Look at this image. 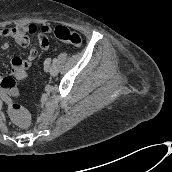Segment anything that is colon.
<instances>
[{
  "instance_id": "colon-1",
  "label": "colon",
  "mask_w": 172,
  "mask_h": 172,
  "mask_svg": "<svg viewBox=\"0 0 172 172\" xmlns=\"http://www.w3.org/2000/svg\"><path fill=\"white\" fill-rule=\"evenodd\" d=\"M54 35L57 39L74 46H80L82 43L81 36L65 26H57L54 30ZM0 93L2 99L8 106V114L12 120L20 127H27L30 122L28 112L20 105L13 102V98L18 96V90L12 75L1 78Z\"/></svg>"
}]
</instances>
